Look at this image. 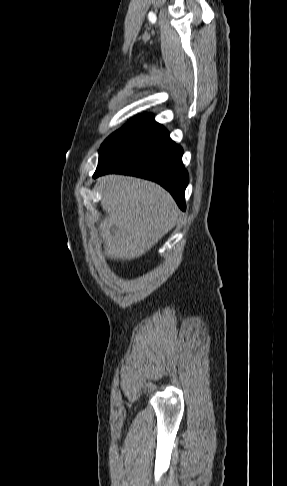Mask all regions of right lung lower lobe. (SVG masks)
Instances as JSON below:
<instances>
[{"instance_id":"98d812e1","label":"right lung lower lobe","mask_w":287,"mask_h":486,"mask_svg":"<svg viewBox=\"0 0 287 486\" xmlns=\"http://www.w3.org/2000/svg\"><path fill=\"white\" fill-rule=\"evenodd\" d=\"M183 150L168 131L158 125L124 148L98 163L94 178L120 173L149 179L167 189L182 210L188 173L182 163Z\"/></svg>"}]
</instances>
